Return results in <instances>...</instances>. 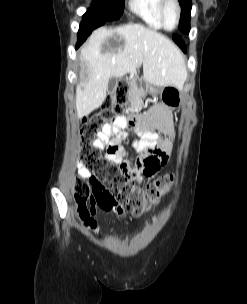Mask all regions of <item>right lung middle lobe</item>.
I'll list each match as a JSON object with an SVG mask.
<instances>
[{"label": "right lung middle lobe", "instance_id": "right-lung-middle-lobe-1", "mask_svg": "<svg viewBox=\"0 0 247 304\" xmlns=\"http://www.w3.org/2000/svg\"><path fill=\"white\" fill-rule=\"evenodd\" d=\"M124 9V0H94L91 8L83 15L85 27L79 30L80 34L86 39L90 33L101 26V21L118 20Z\"/></svg>", "mask_w": 247, "mask_h": 304}]
</instances>
